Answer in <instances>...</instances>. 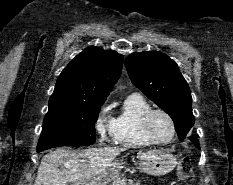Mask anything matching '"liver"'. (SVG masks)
Listing matches in <instances>:
<instances>
[{
  "label": "liver",
  "instance_id": "liver-1",
  "mask_svg": "<svg viewBox=\"0 0 233 185\" xmlns=\"http://www.w3.org/2000/svg\"><path fill=\"white\" fill-rule=\"evenodd\" d=\"M125 150L116 146L82 151L56 150L42 158L34 185H73L95 178Z\"/></svg>",
  "mask_w": 233,
  "mask_h": 185
}]
</instances>
